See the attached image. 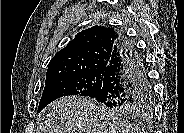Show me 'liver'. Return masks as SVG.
Here are the masks:
<instances>
[{
	"label": "liver",
	"instance_id": "obj_1",
	"mask_svg": "<svg viewBox=\"0 0 184 133\" xmlns=\"http://www.w3.org/2000/svg\"><path fill=\"white\" fill-rule=\"evenodd\" d=\"M41 133H132L126 121L108 112L95 99L62 97L49 104L39 116Z\"/></svg>",
	"mask_w": 184,
	"mask_h": 133
}]
</instances>
